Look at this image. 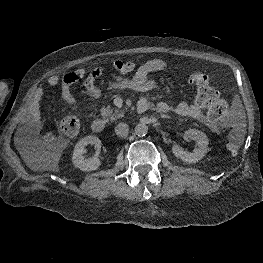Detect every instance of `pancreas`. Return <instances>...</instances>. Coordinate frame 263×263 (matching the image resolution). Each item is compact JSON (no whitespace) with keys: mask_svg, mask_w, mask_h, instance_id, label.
Wrapping results in <instances>:
<instances>
[{"mask_svg":"<svg viewBox=\"0 0 263 263\" xmlns=\"http://www.w3.org/2000/svg\"><path fill=\"white\" fill-rule=\"evenodd\" d=\"M100 113L104 117H108L111 121H115L118 118H121L124 116V112L120 109L113 110L112 108L108 107H103L100 110Z\"/></svg>","mask_w":263,"mask_h":263,"instance_id":"cf45deb5","label":"pancreas"}]
</instances>
